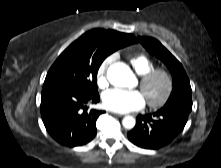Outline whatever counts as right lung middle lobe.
Instances as JSON below:
<instances>
[{
    "label": "right lung middle lobe",
    "mask_w": 221,
    "mask_h": 168,
    "mask_svg": "<svg viewBox=\"0 0 221 168\" xmlns=\"http://www.w3.org/2000/svg\"><path fill=\"white\" fill-rule=\"evenodd\" d=\"M119 48L82 35L57 58L44 85H62L85 93H98V69L104 59Z\"/></svg>",
    "instance_id": "right-lung-middle-lobe-1"
}]
</instances>
